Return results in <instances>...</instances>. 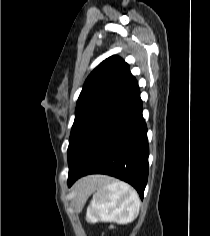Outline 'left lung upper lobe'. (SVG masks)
<instances>
[{
  "label": "left lung upper lobe",
  "mask_w": 210,
  "mask_h": 236,
  "mask_svg": "<svg viewBox=\"0 0 210 236\" xmlns=\"http://www.w3.org/2000/svg\"><path fill=\"white\" fill-rule=\"evenodd\" d=\"M135 81L129 65L118 56L107 58L92 71L77 101L68 151L83 129Z\"/></svg>",
  "instance_id": "obj_1"
}]
</instances>
